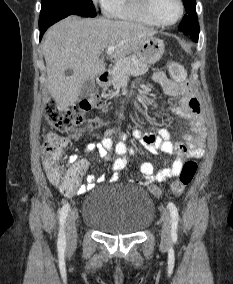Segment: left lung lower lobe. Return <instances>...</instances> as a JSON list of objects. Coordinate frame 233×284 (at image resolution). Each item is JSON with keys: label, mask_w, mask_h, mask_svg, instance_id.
Masks as SVG:
<instances>
[{"label": "left lung lower lobe", "mask_w": 233, "mask_h": 284, "mask_svg": "<svg viewBox=\"0 0 233 284\" xmlns=\"http://www.w3.org/2000/svg\"><path fill=\"white\" fill-rule=\"evenodd\" d=\"M194 42H198V35H189Z\"/></svg>", "instance_id": "0a47b994"}]
</instances>
